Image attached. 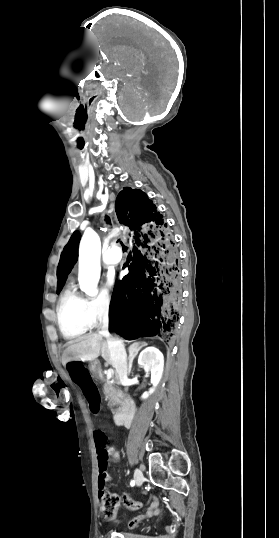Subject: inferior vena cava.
Here are the masks:
<instances>
[{
    "label": "inferior vena cava",
    "instance_id": "obj_1",
    "mask_svg": "<svg viewBox=\"0 0 279 538\" xmlns=\"http://www.w3.org/2000/svg\"><path fill=\"white\" fill-rule=\"evenodd\" d=\"M98 319L100 321V327H98L99 329H102L101 333L104 335V338L107 339L108 350L110 351L111 356L110 360H113L112 365L116 368V374H119V383L126 386L129 383L127 381V354L124 349V344H122L123 340L119 339L120 335H111L108 332V310H101Z\"/></svg>",
    "mask_w": 279,
    "mask_h": 538
}]
</instances>
